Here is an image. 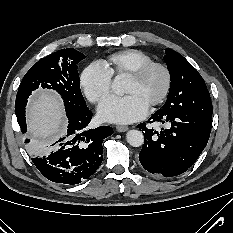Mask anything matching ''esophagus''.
Instances as JSON below:
<instances>
[{"label": "esophagus", "mask_w": 233, "mask_h": 233, "mask_svg": "<svg viewBox=\"0 0 233 233\" xmlns=\"http://www.w3.org/2000/svg\"><path fill=\"white\" fill-rule=\"evenodd\" d=\"M129 128L127 126H122V125H118L116 126V130L118 132H126Z\"/></svg>", "instance_id": "obj_1"}]
</instances>
